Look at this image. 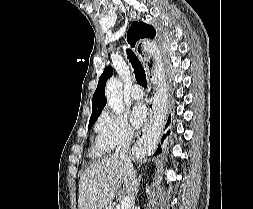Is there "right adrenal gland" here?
<instances>
[{
  "label": "right adrenal gland",
  "instance_id": "2a0ac1e0",
  "mask_svg": "<svg viewBox=\"0 0 253 209\" xmlns=\"http://www.w3.org/2000/svg\"><path fill=\"white\" fill-rule=\"evenodd\" d=\"M140 181H141V176H139L138 178H136V181H135V185H136V195H137V193H138Z\"/></svg>",
  "mask_w": 253,
  "mask_h": 209
}]
</instances>
